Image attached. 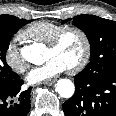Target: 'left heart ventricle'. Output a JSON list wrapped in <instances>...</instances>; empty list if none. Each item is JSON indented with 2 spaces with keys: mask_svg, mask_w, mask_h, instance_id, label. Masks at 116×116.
Listing matches in <instances>:
<instances>
[{
  "mask_svg": "<svg viewBox=\"0 0 116 116\" xmlns=\"http://www.w3.org/2000/svg\"><path fill=\"white\" fill-rule=\"evenodd\" d=\"M83 41L75 32L67 33L56 49L47 48L45 51V59L56 57L63 61L67 68L76 64L83 55Z\"/></svg>",
  "mask_w": 116,
  "mask_h": 116,
  "instance_id": "left-heart-ventricle-1",
  "label": "left heart ventricle"
}]
</instances>
